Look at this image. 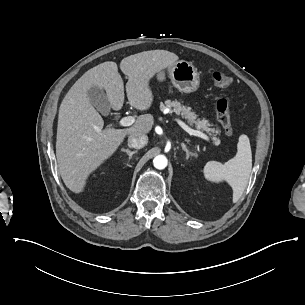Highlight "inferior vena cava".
Wrapping results in <instances>:
<instances>
[{"label":"inferior vena cava","instance_id":"inferior-vena-cava-1","mask_svg":"<svg viewBox=\"0 0 305 305\" xmlns=\"http://www.w3.org/2000/svg\"><path fill=\"white\" fill-rule=\"evenodd\" d=\"M128 143L131 147L140 149L143 148L148 143V137L145 134L138 136L132 134L128 138Z\"/></svg>","mask_w":305,"mask_h":305}]
</instances>
